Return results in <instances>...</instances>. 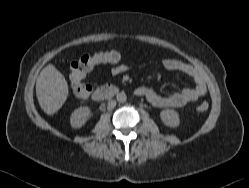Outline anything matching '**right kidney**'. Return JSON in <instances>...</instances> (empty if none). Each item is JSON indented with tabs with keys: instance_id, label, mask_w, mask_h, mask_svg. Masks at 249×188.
<instances>
[{
	"instance_id": "obj_1",
	"label": "right kidney",
	"mask_w": 249,
	"mask_h": 188,
	"mask_svg": "<svg viewBox=\"0 0 249 188\" xmlns=\"http://www.w3.org/2000/svg\"><path fill=\"white\" fill-rule=\"evenodd\" d=\"M91 115V110L88 107H80L74 110L70 117V124L73 128L82 127Z\"/></svg>"
}]
</instances>
